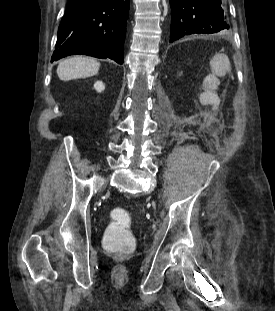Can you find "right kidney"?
Returning <instances> with one entry per match:
<instances>
[{
    "label": "right kidney",
    "instance_id": "right-kidney-1",
    "mask_svg": "<svg viewBox=\"0 0 275 311\" xmlns=\"http://www.w3.org/2000/svg\"><path fill=\"white\" fill-rule=\"evenodd\" d=\"M94 89L101 93L105 89V85L102 81H96L94 84Z\"/></svg>",
    "mask_w": 275,
    "mask_h": 311
}]
</instances>
